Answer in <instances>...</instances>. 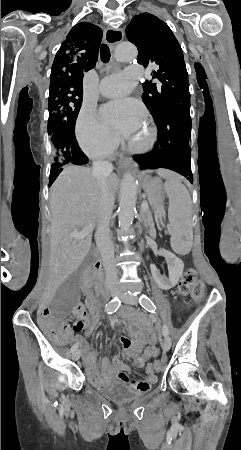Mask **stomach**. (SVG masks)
<instances>
[{"label":"stomach","mask_w":241,"mask_h":450,"mask_svg":"<svg viewBox=\"0 0 241 450\" xmlns=\"http://www.w3.org/2000/svg\"><path fill=\"white\" fill-rule=\"evenodd\" d=\"M142 185L150 205L153 208L160 207L164 201V190L160 179L144 176Z\"/></svg>","instance_id":"1"}]
</instances>
